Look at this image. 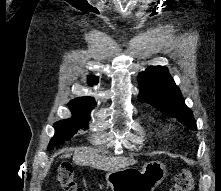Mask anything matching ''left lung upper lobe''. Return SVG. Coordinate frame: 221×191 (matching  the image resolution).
I'll return each mask as SVG.
<instances>
[{
    "instance_id": "left-lung-upper-lobe-1",
    "label": "left lung upper lobe",
    "mask_w": 221,
    "mask_h": 191,
    "mask_svg": "<svg viewBox=\"0 0 221 191\" xmlns=\"http://www.w3.org/2000/svg\"><path fill=\"white\" fill-rule=\"evenodd\" d=\"M141 88L139 100L156 107L169 117H175L191 130H196V121L173 78L164 66H150L138 77Z\"/></svg>"
}]
</instances>
